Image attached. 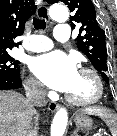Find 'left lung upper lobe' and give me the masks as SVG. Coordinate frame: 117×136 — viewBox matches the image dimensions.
<instances>
[{
  "label": "left lung upper lobe",
  "instance_id": "obj_1",
  "mask_svg": "<svg viewBox=\"0 0 117 136\" xmlns=\"http://www.w3.org/2000/svg\"><path fill=\"white\" fill-rule=\"evenodd\" d=\"M61 1L68 5L70 12H74V16L70 17L72 29L76 26L80 27L79 35L76 39L78 49L88 57L92 65L108 83L105 32L96 21V11L93 3L91 0ZM47 2L53 4L56 1L47 0Z\"/></svg>",
  "mask_w": 117,
  "mask_h": 136
}]
</instances>
